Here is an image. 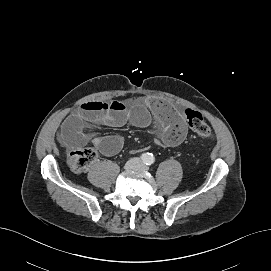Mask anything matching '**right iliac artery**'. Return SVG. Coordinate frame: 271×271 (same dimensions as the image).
<instances>
[{"mask_svg":"<svg viewBox=\"0 0 271 271\" xmlns=\"http://www.w3.org/2000/svg\"><path fill=\"white\" fill-rule=\"evenodd\" d=\"M148 158H149L148 154H142V155H141V160H142L144 163H147Z\"/></svg>","mask_w":271,"mask_h":271,"instance_id":"obj_1","label":"right iliac artery"}]
</instances>
